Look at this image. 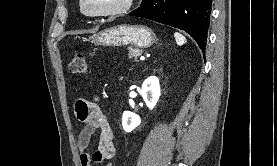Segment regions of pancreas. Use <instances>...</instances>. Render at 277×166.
I'll return each instance as SVG.
<instances>
[{
    "instance_id": "pancreas-1",
    "label": "pancreas",
    "mask_w": 277,
    "mask_h": 166,
    "mask_svg": "<svg viewBox=\"0 0 277 166\" xmlns=\"http://www.w3.org/2000/svg\"><path fill=\"white\" fill-rule=\"evenodd\" d=\"M129 53L128 56L129 58H133L135 57V59L137 60V57L141 55V53L143 52L142 50L136 49V48H129Z\"/></svg>"
}]
</instances>
